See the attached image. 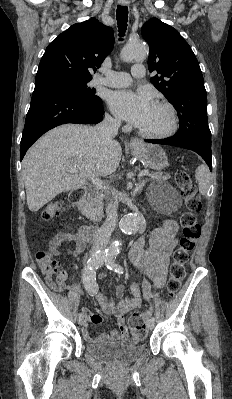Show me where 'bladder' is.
I'll return each mask as SVG.
<instances>
[{"instance_id":"31cf9c89","label":"bladder","mask_w":232,"mask_h":399,"mask_svg":"<svg viewBox=\"0 0 232 399\" xmlns=\"http://www.w3.org/2000/svg\"><path fill=\"white\" fill-rule=\"evenodd\" d=\"M145 345L124 340L88 343L85 351L91 357L112 365H126L136 361L145 352Z\"/></svg>"}]
</instances>
